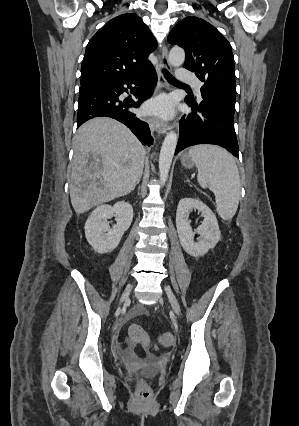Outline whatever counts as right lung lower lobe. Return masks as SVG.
<instances>
[{
	"mask_svg": "<svg viewBox=\"0 0 299 426\" xmlns=\"http://www.w3.org/2000/svg\"><path fill=\"white\" fill-rule=\"evenodd\" d=\"M157 76L153 69L115 83H88L79 89V106L77 115V128L84 122L94 117L106 116L114 118L125 124L136 135L143 145H152L153 138L150 134L149 123L139 118L133 109L148 99L153 92ZM135 84L134 96L137 101L122 99L120 95L127 92Z\"/></svg>",
	"mask_w": 299,
	"mask_h": 426,
	"instance_id": "1",
	"label": "right lung lower lobe"
}]
</instances>
